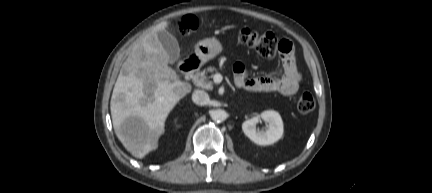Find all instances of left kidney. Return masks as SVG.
Instances as JSON below:
<instances>
[{
    "label": "left kidney",
    "mask_w": 432,
    "mask_h": 193,
    "mask_svg": "<svg viewBox=\"0 0 432 193\" xmlns=\"http://www.w3.org/2000/svg\"><path fill=\"white\" fill-rule=\"evenodd\" d=\"M262 118L268 123L266 130H256V125ZM244 134L258 145H271L277 142L283 135V121L280 114L273 110L263 111L259 117H253L243 122Z\"/></svg>",
    "instance_id": "1"
}]
</instances>
